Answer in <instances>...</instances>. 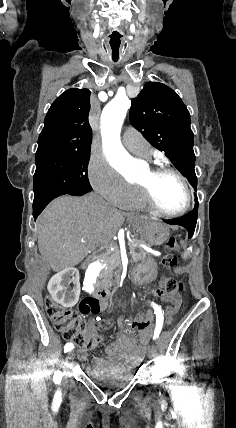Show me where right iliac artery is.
<instances>
[{"label": "right iliac artery", "mask_w": 236, "mask_h": 428, "mask_svg": "<svg viewBox=\"0 0 236 428\" xmlns=\"http://www.w3.org/2000/svg\"><path fill=\"white\" fill-rule=\"evenodd\" d=\"M74 348V345L72 344V343H67L65 346H64V352L66 353V352H69V351H71L72 349ZM57 372H59V371H57ZM61 373V372H60Z\"/></svg>", "instance_id": "82829eb1"}]
</instances>
